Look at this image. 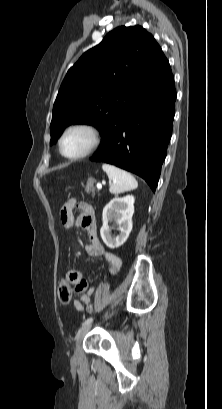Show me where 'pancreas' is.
I'll use <instances>...</instances> for the list:
<instances>
[{
	"label": "pancreas",
	"instance_id": "pancreas-1",
	"mask_svg": "<svg viewBox=\"0 0 222 409\" xmlns=\"http://www.w3.org/2000/svg\"><path fill=\"white\" fill-rule=\"evenodd\" d=\"M94 180L93 179H88L87 184L85 186V190L88 194H92L93 196L96 194V191L93 187L94 185Z\"/></svg>",
	"mask_w": 222,
	"mask_h": 409
}]
</instances>
